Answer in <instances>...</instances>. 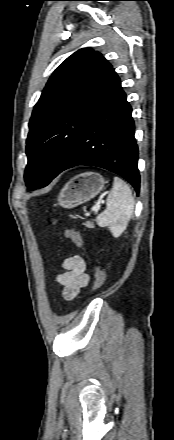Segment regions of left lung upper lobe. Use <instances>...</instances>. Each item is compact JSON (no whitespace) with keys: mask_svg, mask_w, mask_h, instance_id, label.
Segmentation results:
<instances>
[{"mask_svg":"<svg viewBox=\"0 0 174 440\" xmlns=\"http://www.w3.org/2000/svg\"><path fill=\"white\" fill-rule=\"evenodd\" d=\"M115 76L111 64L91 48L78 50L54 71L29 122L24 175L28 189L45 187L60 173Z\"/></svg>","mask_w":174,"mask_h":440,"instance_id":"obj_1","label":"left lung upper lobe"}]
</instances>
